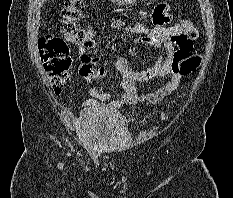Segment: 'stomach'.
Listing matches in <instances>:
<instances>
[{
  "label": "stomach",
  "instance_id": "obj_1",
  "mask_svg": "<svg viewBox=\"0 0 233 198\" xmlns=\"http://www.w3.org/2000/svg\"><path fill=\"white\" fill-rule=\"evenodd\" d=\"M112 3L117 5H126L135 3L137 0H110Z\"/></svg>",
  "mask_w": 233,
  "mask_h": 198
}]
</instances>
